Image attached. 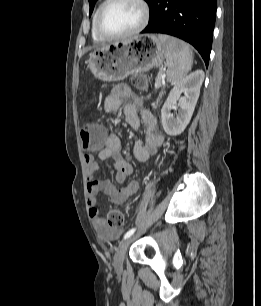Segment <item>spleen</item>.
I'll list each match as a JSON object with an SVG mask.
<instances>
[{"mask_svg": "<svg viewBox=\"0 0 261 306\" xmlns=\"http://www.w3.org/2000/svg\"><path fill=\"white\" fill-rule=\"evenodd\" d=\"M158 38L165 50L167 80L180 81L192 68L193 52L186 43L177 38L163 34H159Z\"/></svg>", "mask_w": 261, "mask_h": 306, "instance_id": "1", "label": "spleen"}]
</instances>
